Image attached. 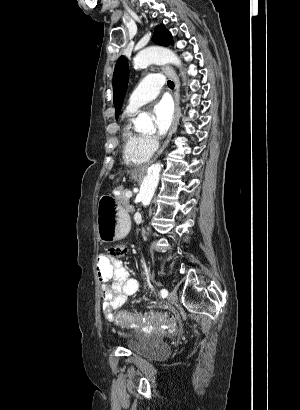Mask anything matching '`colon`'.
I'll list each match as a JSON object with an SVG mask.
<instances>
[{
  "instance_id": "colon-1",
  "label": "colon",
  "mask_w": 300,
  "mask_h": 410,
  "mask_svg": "<svg viewBox=\"0 0 300 410\" xmlns=\"http://www.w3.org/2000/svg\"><path fill=\"white\" fill-rule=\"evenodd\" d=\"M108 252L112 257L121 258L127 254L128 248L123 244H117L110 246ZM172 320L173 317L171 315L158 313L140 314L122 311L115 316L116 324L124 328H133L141 325L152 326L165 324Z\"/></svg>"
}]
</instances>
